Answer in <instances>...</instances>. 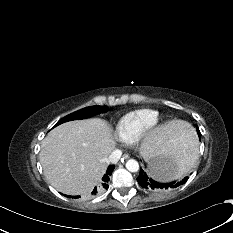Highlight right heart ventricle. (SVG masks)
<instances>
[{
  "label": "right heart ventricle",
  "mask_w": 233,
  "mask_h": 233,
  "mask_svg": "<svg viewBox=\"0 0 233 233\" xmlns=\"http://www.w3.org/2000/svg\"><path fill=\"white\" fill-rule=\"evenodd\" d=\"M157 112L152 109H138L124 115L117 123L115 137L122 143L132 144L150 128Z\"/></svg>",
  "instance_id": "obj_1"
}]
</instances>
